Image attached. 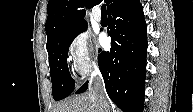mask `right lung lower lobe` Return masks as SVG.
<instances>
[{
  "mask_svg": "<svg viewBox=\"0 0 193 112\" xmlns=\"http://www.w3.org/2000/svg\"><path fill=\"white\" fill-rule=\"evenodd\" d=\"M108 18L111 49L98 55L106 91L122 111L142 112L147 52L143 8L139 0H123ZM87 89L88 82L76 94Z\"/></svg>",
  "mask_w": 193,
  "mask_h": 112,
  "instance_id": "98d812e1",
  "label": "right lung lower lobe"
}]
</instances>
